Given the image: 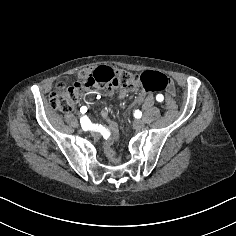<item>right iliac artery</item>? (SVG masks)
Here are the masks:
<instances>
[{"instance_id":"1","label":"right iliac artery","mask_w":236,"mask_h":236,"mask_svg":"<svg viewBox=\"0 0 236 236\" xmlns=\"http://www.w3.org/2000/svg\"><path fill=\"white\" fill-rule=\"evenodd\" d=\"M81 127L84 131L90 130L91 127V121L87 116H83L80 119Z\"/></svg>"}]
</instances>
